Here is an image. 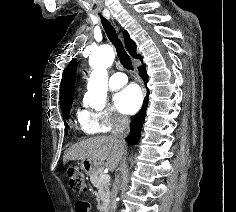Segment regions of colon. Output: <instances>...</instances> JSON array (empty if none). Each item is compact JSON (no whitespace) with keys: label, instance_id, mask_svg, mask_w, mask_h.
I'll list each match as a JSON object with an SVG mask.
<instances>
[{"label":"colon","instance_id":"5ec220e1","mask_svg":"<svg viewBox=\"0 0 236 212\" xmlns=\"http://www.w3.org/2000/svg\"><path fill=\"white\" fill-rule=\"evenodd\" d=\"M67 175L69 185L74 191L81 192L86 189L85 177L79 168L70 167L67 171Z\"/></svg>","mask_w":236,"mask_h":212}]
</instances>
